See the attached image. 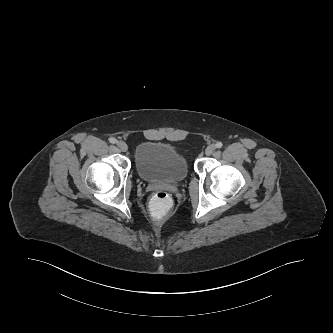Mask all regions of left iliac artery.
Segmentation results:
<instances>
[{
  "label": "left iliac artery",
  "instance_id": "1",
  "mask_svg": "<svg viewBox=\"0 0 333 333\" xmlns=\"http://www.w3.org/2000/svg\"><path fill=\"white\" fill-rule=\"evenodd\" d=\"M215 146H216L217 148H222L223 144H222V142H217V143L215 144Z\"/></svg>",
  "mask_w": 333,
  "mask_h": 333
}]
</instances>
